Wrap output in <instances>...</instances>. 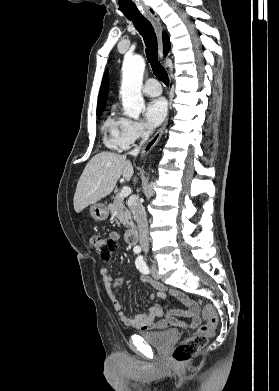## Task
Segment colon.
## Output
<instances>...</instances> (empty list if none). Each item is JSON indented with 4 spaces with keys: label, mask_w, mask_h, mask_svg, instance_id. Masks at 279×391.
Instances as JSON below:
<instances>
[{
    "label": "colon",
    "mask_w": 279,
    "mask_h": 391,
    "mask_svg": "<svg viewBox=\"0 0 279 391\" xmlns=\"http://www.w3.org/2000/svg\"><path fill=\"white\" fill-rule=\"evenodd\" d=\"M91 249L98 255L102 261H108L117 250L115 240L100 234H92L88 239ZM206 323L201 325L197 332L183 340L173 352V359L177 363L189 361L196 353L201 350L208 342V339L214 334L218 324V314L215 308L207 304L203 310Z\"/></svg>",
    "instance_id": "5ec220e1"
}]
</instances>
